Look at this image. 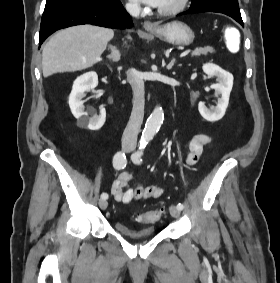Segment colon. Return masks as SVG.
Segmentation results:
<instances>
[{
	"instance_id": "5ec220e1",
	"label": "colon",
	"mask_w": 280,
	"mask_h": 283,
	"mask_svg": "<svg viewBox=\"0 0 280 283\" xmlns=\"http://www.w3.org/2000/svg\"><path fill=\"white\" fill-rule=\"evenodd\" d=\"M225 38L224 41L228 42L227 51H232L233 55L241 50V37L244 36L243 32H239V25H225ZM163 214V210L147 211L137 213L136 218L142 223H152L157 221Z\"/></svg>"
}]
</instances>
